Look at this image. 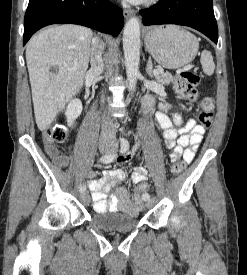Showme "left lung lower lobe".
Returning <instances> with one entry per match:
<instances>
[{
  "mask_svg": "<svg viewBox=\"0 0 247 275\" xmlns=\"http://www.w3.org/2000/svg\"><path fill=\"white\" fill-rule=\"evenodd\" d=\"M144 25L177 24L192 27L214 43L218 41V28L212 0H159L140 11Z\"/></svg>",
  "mask_w": 247,
  "mask_h": 275,
  "instance_id": "obj_1",
  "label": "left lung lower lobe"
}]
</instances>
